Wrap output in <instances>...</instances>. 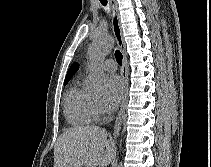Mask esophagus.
I'll return each mask as SVG.
<instances>
[{
    "label": "esophagus",
    "instance_id": "obj_1",
    "mask_svg": "<svg viewBox=\"0 0 211 167\" xmlns=\"http://www.w3.org/2000/svg\"><path fill=\"white\" fill-rule=\"evenodd\" d=\"M110 7H111V17H112V29L115 36V39L117 41V45L123 55V64L121 67V76L123 79L124 84V91L122 96V102L121 107L118 112L115 125H114V132L113 137L117 138L119 136L121 125L123 122V118L125 115V108H126V101H127V94H128V64H127V56L125 51V43L122 35V28L120 23V16L119 11L117 7L116 0H109Z\"/></svg>",
    "mask_w": 211,
    "mask_h": 167
}]
</instances>
